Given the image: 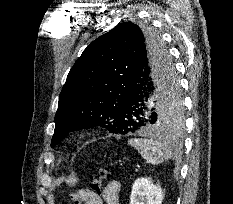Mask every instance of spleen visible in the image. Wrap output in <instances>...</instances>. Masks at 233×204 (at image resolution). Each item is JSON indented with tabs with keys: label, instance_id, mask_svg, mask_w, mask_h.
<instances>
[{
	"label": "spleen",
	"instance_id": "spleen-1",
	"mask_svg": "<svg viewBox=\"0 0 233 204\" xmlns=\"http://www.w3.org/2000/svg\"><path fill=\"white\" fill-rule=\"evenodd\" d=\"M128 144L137 149L143 159L152 165L161 164L164 161L172 159L176 155L172 146L152 138H134L130 139Z\"/></svg>",
	"mask_w": 233,
	"mask_h": 204
}]
</instances>
